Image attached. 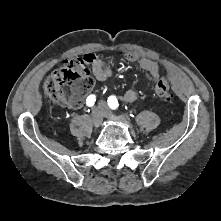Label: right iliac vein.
Segmentation results:
<instances>
[{"label":"right iliac vein","mask_w":221,"mask_h":221,"mask_svg":"<svg viewBox=\"0 0 221 221\" xmlns=\"http://www.w3.org/2000/svg\"><path fill=\"white\" fill-rule=\"evenodd\" d=\"M104 111L102 107L95 108L92 112V121L95 127H99L103 121Z\"/></svg>","instance_id":"63e3f726"}]
</instances>
